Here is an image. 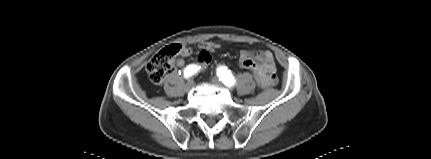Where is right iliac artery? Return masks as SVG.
<instances>
[{
  "mask_svg": "<svg viewBox=\"0 0 431 159\" xmlns=\"http://www.w3.org/2000/svg\"><path fill=\"white\" fill-rule=\"evenodd\" d=\"M200 69V66L197 65H189L184 69V77L186 79L190 78L191 76L195 75Z\"/></svg>",
  "mask_w": 431,
  "mask_h": 159,
  "instance_id": "right-iliac-artery-1",
  "label": "right iliac artery"
}]
</instances>
